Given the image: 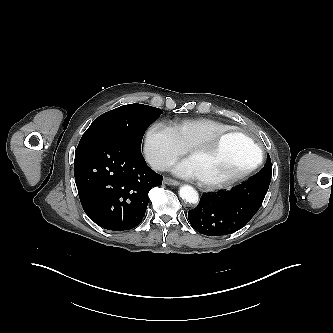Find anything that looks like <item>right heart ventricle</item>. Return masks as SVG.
Masks as SVG:
<instances>
[{
  "label": "right heart ventricle",
  "instance_id": "obj_1",
  "mask_svg": "<svg viewBox=\"0 0 333 333\" xmlns=\"http://www.w3.org/2000/svg\"><path fill=\"white\" fill-rule=\"evenodd\" d=\"M171 128L180 143L188 149L196 142L205 140L232 127L210 118H194L176 121Z\"/></svg>",
  "mask_w": 333,
  "mask_h": 333
}]
</instances>
